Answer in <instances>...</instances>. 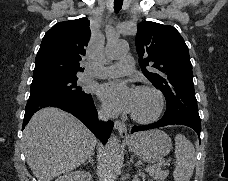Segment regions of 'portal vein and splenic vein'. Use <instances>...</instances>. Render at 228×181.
<instances>
[{
	"label": "portal vein and splenic vein",
	"mask_w": 228,
	"mask_h": 181,
	"mask_svg": "<svg viewBox=\"0 0 228 181\" xmlns=\"http://www.w3.org/2000/svg\"><path fill=\"white\" fill-rule=\"evenodd\" d=\"M164 165H166V163H164ZM164 166L161 164H150L149 166H142V170L141 173L142 174H149V171H153V169H162Z\"/></svg>",
	"instance_id": "obj_1"
}]
</instances>
